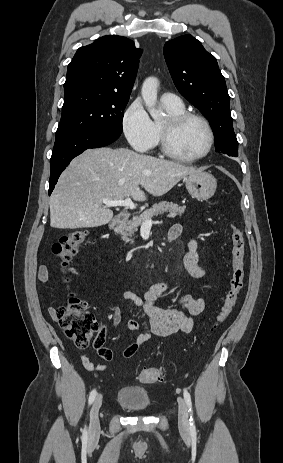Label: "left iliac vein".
Masks as SVG:
<instances>
[{"label":"left iliac vein","instance_id":"obj_1","mask_svg":"<svg viewBox=\"0 0 283 463\" xmlns=\"http://www.w3.org/2000/svg\"><path fill=\"white\" fill-rule=\"evenodd\" d=\"M178 423L180 429L187 431L189 428V414L186 402L179 397L178 398Z\"/></svg>","mask_w":283,"mask_h":463}]
</instances>
